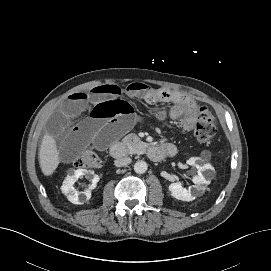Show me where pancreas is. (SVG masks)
<instances>
[{"label":"pancreas","instance_id":"cf45deb5","mask_svg":"<svg viewBox=\"0 0 271 271\" xmlns=\"http://www.w3.org/2000/svg\"><path fill=\"white\" fill-rule=\"evenodd\" d=\"M123 143L127 146L129 153L140 154L143 152L145 143L136 134H129L123 138Z\"/></svg>","mask_w":271,"mask_h":271}]
</instances>
